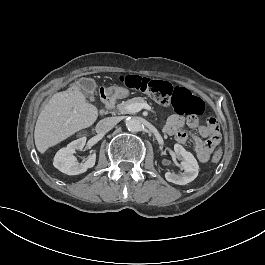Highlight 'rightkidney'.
<instances>
[{"mask_svg": "<svg viewBox=\"0 0 265 265\" xmlns=\"http://www.w3.org/2000/svg\"><path fill=\"white\" fill-rule=\"evenodd\" d=\"M86 137L79 138L68 144L67 148L59 150L54 158V167L67 175H79L93 168L96 162V153H93L84 163H77L72 154L76 149L83 150Z\"/></svg>", "mask_w": 265, "mask_h": 265, "instance_id": "1", "label": "right kidney"}]
</instances>
